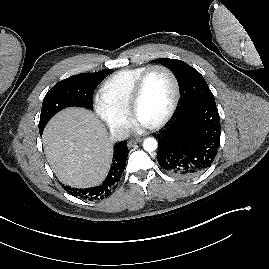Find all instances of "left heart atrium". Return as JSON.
Segmentation results:
<instances>
[{
	"mask_svg": "<svg viewBox=\"0 0 269 269\" xmlns=\"http://www.w3.org/2000/svg\"><path fill=\"white\" fill-rule=\"evenodd\" d=\"M139 127H145L146 125L142 124L141 122H137Z\"/></svg>",
	"mask_w": 269,
	"mask_h": 269,
	"instance_id": "39dd6f15",
	"label": "left heart atrium"
}]
</instances>
